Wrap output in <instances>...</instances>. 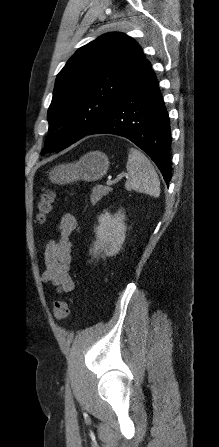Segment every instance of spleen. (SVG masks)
<instances>
[{
  "mask_svg": "<svg viewBox=\"0 0 219 447\" xmlns=\"http://www.w3.org/2000/svg\"><path fill=\"white\" fill-rule=\"evenodd\" d=\"M129 179L127 190H135L155 198L160 195V181L150 160L139 150L130 148L126 165Z\"/></svg>",
  "mask_w": 219,
  "mask_h": 447,
  "instance_id": "1",
  "label": "spleen"
}]
</instances>
